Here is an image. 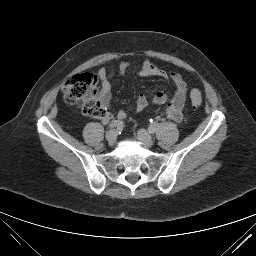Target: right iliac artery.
Masks as SVG:
<instances>
[{"instance_id":"right-iliac-artery-1","label":"right iliac artery","mask_w":256,"mask_h":256,"mask_svg":"<svg viewBox=\"0 0 256 256\" xmlns=\"http://www.w3.org/2000/svg\"><path fill=\"white\" fill-rule=\"evenodd\" d=\"M124 126V122L123 121H120V120H115V121H112L108 128L109 129H112V128H122Z\"/></svg>"}]
</instances>
